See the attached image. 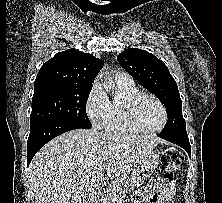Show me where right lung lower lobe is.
<instances>
[{"label": "right lung lower lobe", "mask_w": 222, "mask_h": 203, "mask_svg": "<svg viewBox=\"0 0 222 203\" xmlns=\"http://www.w3.org/2000/svg\"><path fill=\"white\" fill-rule=\"evenodd\" d=\"M91 127L92 125L64 120H47L30 125V134L27 144L28 166L37 151L51 139L70 130L79 128L89 129Z\"/></svg>", "instance_id": "1"}]
</instances>
